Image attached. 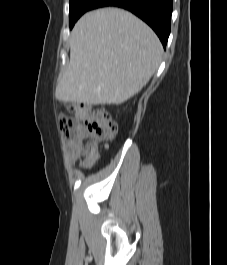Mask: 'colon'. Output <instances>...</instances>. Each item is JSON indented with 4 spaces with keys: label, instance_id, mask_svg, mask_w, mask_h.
<instances>
[{
    "label": "colon",
    "instance_id": "1",
    "mask_svg": "<svg viewBox=\"0 0 227 265\" xmlns=\"http://www.w3.org/2000/svg\"><path fill=\"white\" fill-rule=\"evenodd\" d=\"M70 113L76 124L68 118L61 119V131L70 136L75 129L81 128L79 143L86 149H94L98 143L110 141L116 135L117 125L103 108L80 104L71 107Z\"/></svg>",
    "mask_w": 227,
    "mask_h": 265
}]
</instances>
